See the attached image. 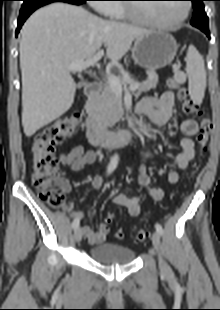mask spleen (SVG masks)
Instances as JSON below:
<instances>
[{
	"instance_id": "3e777b00",
	"label": "spleen",
	"mask_w": 220,
	"mask_h": 310,
	"mask_svg": "<svg viewBox=\"0 0 220 310\" xmlns=\"http://www.w3.org/2000/svg\"><path fill=\"white\" fill-rule=\"evenodd\" d=\"M189 94L193 101L201 103L206 87V72L203 57L194 46H190L186 56Z\"/></svg>"
}]
</instances>
